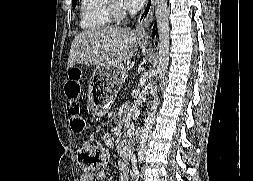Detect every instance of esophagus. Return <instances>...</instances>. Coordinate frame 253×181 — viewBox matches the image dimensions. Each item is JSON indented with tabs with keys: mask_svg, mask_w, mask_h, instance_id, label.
<instances>
[{
	"mask_svg": "<svg viewBox=\"0 0 253 181\" xmlns=\"http://www.w3.org/2000/svg\"><path fill=\"white\" fill-rule=\"evenodd\" d=\"M154 13V0H147L144 9L137 18L135 34L137 38L149 41V28Z\"/></svg>",
	"mask_w": 253,
	"mask_h": 181,
	"instance_id": "34e87169",
	"label": "esophagus"
}]
</instances>
